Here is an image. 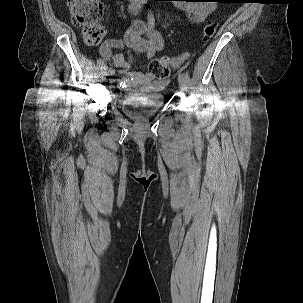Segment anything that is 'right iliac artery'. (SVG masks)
Segmentation results:
<instances>
[{"label":"right iliac artery","mask_w":303,"mask_h":303,"mask_svg":"<svg viewBox=\"0 0 303 303\" xmlns=\"http://www.w3.org/2000/svg\"><path fill=\"white\" fill-rule=\"evenodd\" d=\"M148 24H149V27H154V17L152 15H149L148 16ZM115 73V69L113 67H110L109 70H108V74L109 75H112Z\"/></svg>","instance_id":"82829eb1"}]
</instances>
